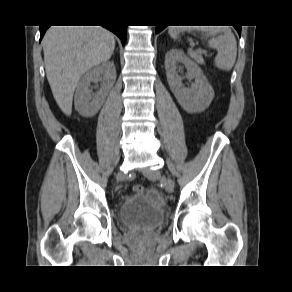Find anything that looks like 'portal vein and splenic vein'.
<instances>
[{
  "mask_svg": "<svg viewBox=\"0 0 292 292\" xmlns=\"http://www.w3.org/2000/svg\"><path fill=\"white\" fill-rule=\"evenodd\" d=\"M199 52H203V53H206L205 51H203V50H199Z\"/></svg>",
  "mask_w": 292,
  "mask_h": 292,
  "instance_id": "1",
  "label": "portal vein and splenic vein"
}]
</instances>
